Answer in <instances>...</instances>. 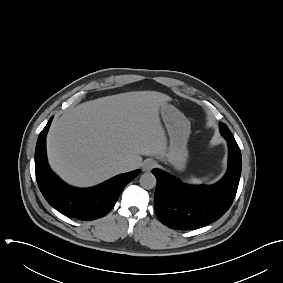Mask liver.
I'll return each instance as SVG.
<instances>
[{"label":"liver","mask_w":283,"mask_h":283,"mask_svg":"<svg viewBox=\"0 0 283 283\" xmlns=\"http://www.w3.org/2000/svg\"><path fill=\"white\" fill-rule=\"evenodd\" d=\"M170 100L156 91H133L78 105L50 127L51 168L71 185L90 187L122 173L120 161L136 169L141 155L162 158L167 139L159 111Z\"/></svg>","instance_id":"liver-1"}]
</instances>
